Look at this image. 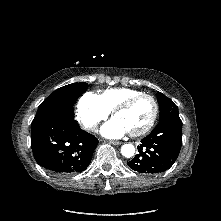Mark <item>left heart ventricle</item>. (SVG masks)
Returning <instances> with one entry per match:
<instances>
[{
	"instance_id": "obj_1",
	"label": "left heart ventricle",
	"mask_w": 221,
	"mask_h": 221,
	"mask_svg": "<svg viewBox=\"0 0 221 221\" xmlns=\"http://www.w3.org/2000/svg\"><path fill=\"white\" fill-rule=\"evenodd\" d=\"M152 114V101L148 98H142L129 109L119 112L115 118L125 125L128 132H135L142 129L150 121Z\"/></svg>"
}]
</instances>
